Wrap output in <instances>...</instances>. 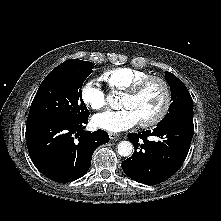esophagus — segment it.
I'll return each mask as SVG.
<instances>
[{
  "label": "esophagus",
  "instance_id": "esophagus-1",
  "mask_svg": "<svg viewBox=\"0 0 221 221\" xmlns=\"http://www.w3.org/2000/svg\"><path fill=\"white\" fill-rule=\"evenodd\" d=\"M109 137L111 140H116L119 138V135L117 133L110 132Z\"/></svg>",
  "mask_w": 221,
  "mask_h": 221
}]
</instances>
